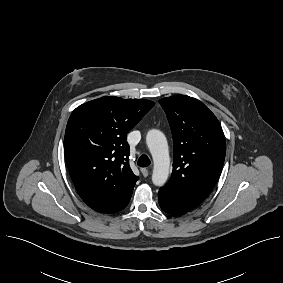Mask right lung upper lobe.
<instances>
[{
    "label": "right lung upper lobe",
    "instance_id": "right-lung-upper-lobe-1",
    "mask_svg": "<svg viewBox=\"0 0 283 283\" xmlns=\"http://www.w3.org/2000/svg\"><path fill=\"white\" fill-rule=\"evenodd\" d=\"M154 104L105 96L72 112L65 159L78 194L93 210L114 213L127 206L138 177L129 166L126 135Z\"/></svg>",
    "mask_w": 283,
    "mask_h": 283
}]
</instances>
